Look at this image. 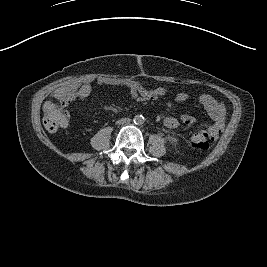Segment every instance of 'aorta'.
Wrapping results in <instances>:
<instances>
[{"instance_id":"aorta-1","label":"aorta","mask_w":267,"mask_h":267,"mask_svg":"<svg viewBox=\"0 0 267 267\" xmlns=\"http://www.w3.org/2000/svg\"><path fill=\"white\" fill-rule=\"evenodd\" d=\"M144 117L143 116H139V115H137V116H135L134 117V122L136 123V124H143L144 123Z\"/></svg>"}]
</instances>
